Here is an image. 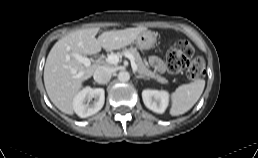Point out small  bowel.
I'll return each instance as SVG.
<instances>
[{"label": "small bowel", "mask_w": 258, "mask_h": 158, "mask_svg": "<svg viewBox=\"0 0 258 158\" xmlns=\"http://www.w3.org/2000/svg\"><path fill=\"white\" fill-rule=\"evenodd\" d=\"M150 64L160 72H163L165 70L164 63L159 57H156V56L151 57Z\"/></svg>", "instance_id": "obj_1"}]
</instances>
